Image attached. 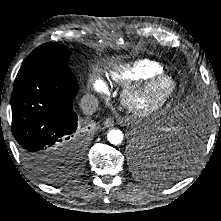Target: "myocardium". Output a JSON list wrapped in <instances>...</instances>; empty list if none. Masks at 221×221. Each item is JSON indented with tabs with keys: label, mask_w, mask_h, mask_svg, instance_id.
I'll use <instances>...</instances> for the list:
<instances>
[{
	"label": "myocardium",
	"mask_w": 221,
	"mask_h": 221,
	"mask_svg": "<svg viewBox=\"0 0 221 221\" xmlns=\"http://www.w3.org/2000/svg\"><path fill=\"white\" fill-rule=\"evenodd\" d=\"M159 83H167L165 93L158 99L145 102L146 96ZM175 78L166 73H160L147 79L139 86L130 87L123 93L122 104L124 107L138 117L154 116L160 113L173 99L177 92Z\"/></svg>",
	"instance_id": "obj_1"
}]
</instances>
